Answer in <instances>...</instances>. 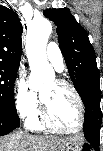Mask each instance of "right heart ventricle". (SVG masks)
I'll return each mask as SVG.
<instances>
[{
  "label": "right heart ventricle",
  "instance_id": "e07e8e85",
  "mask_svg": "<svg viewBox=\"0 0 103 151\" xmlns=\"http://www.w3.org/2000/svg\"><path fill=\"white\" fill-rule=\"evenodd\" d=\"M27 125L30 129L37 131H42L46 129V127L41 121L40 114L38 111L31 118L27 119Z\"/></svg>",
  "mask_w": 103,
  "mask_h": 151
}]
</instances>
